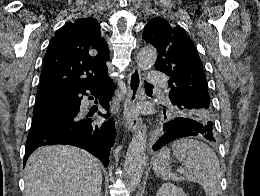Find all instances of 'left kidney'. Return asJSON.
I'll return each mask as SVG.
<instances>
[{
	"label": "left kidney",
	"mask_w": 260,
	"mask_h": 196,
	"mask_svg": "<svg viewBox=\"0 0 260 196\" xmlns=\"http://www.w3.org/2000/svg\"><path fill=\"white\" fill-rule=\"evenodd\" d=\"M157 196H186V194L178 186L167 182V184H162L161 188H159Z\"/></svg>",
	"instance_id": "1"
}]
</instances>
